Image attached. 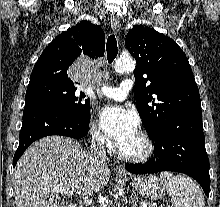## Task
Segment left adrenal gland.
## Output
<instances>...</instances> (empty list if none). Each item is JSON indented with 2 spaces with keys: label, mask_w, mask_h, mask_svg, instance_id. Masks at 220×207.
<instances>
[{
  "label": "left adrenal gland",
  "mask_w": 220,
  "mask_h": 207,
  "mask_svg": "<svg viewBox=\"0 0 220 207\" xmlns=\"http://www.w3.org/2000/svg\"><path fill=\"white\" fill-rule=\"evenodd\" d=\"M128 204H130V205L132 204V207H136V205H137V198H136L135 192H133L131 194V197L129 198Z\"/></svg>",
  "instance_id": "left-adrenal-gland-1"
}]
</instances>
